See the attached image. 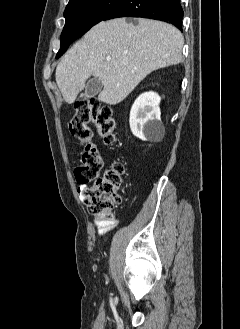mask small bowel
Listing matches in <instances>:
<instances>
[{
  "instance_id": "small-bowel-1",
  "label": "small bowel",
  "mask_w": 240,
  "mask_h": 329,
  "mask_svg": "<svg viewBox=\"0 0 240 329\" xmlns=\"http://www.w3.org/2000/svg\"><path fill=\"white\" fill-rule=\"evenodd\" d=\"M86 190L85 185H80L77 189L78 195L83 199V193ZM117 226L116 221L114 220H106V221H96L95 227L97 229V233L99 236H103L110 231H112Z\"/></svg>"
}]
</instances>
